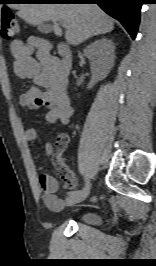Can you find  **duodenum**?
Listing matches in <instances>:
<instances>
[{
  "label": "duodenum",
  "mask_w": 156,
  "mask_h": 266,
  "mask_svg": "<svg viewBox=\"0 0 156 266\" xmlns=\"http://www.w3.org/2000/svg\"><path fill=\"white\" fill-rule=\"evenodd\" d=\"M44 50L49 53V47L47 45L44 47ZM58 56V60L55 61L57 74L66 83L72 67V52L68 44L60 43L58 45Z\"/></svg>",
  "instance_id": "410a0bca"
}]
</instances>
